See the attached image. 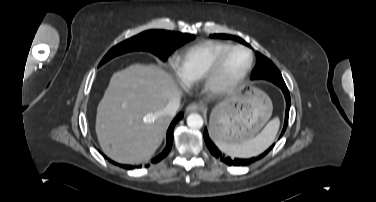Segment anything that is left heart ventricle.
<instances>
[{
    "mask_svg": "<svg viewBox=\"0 0 376 202\" xmlns=\"http://www.w3.org/2000/svg\"><path fill=\"white\" fill-rule=\"evenodd\" d=\"M249 62V55L243 50H236L232 52L226 59L222 72L221 79L224 82L236 78L247 66Z\"/></svg>",
    "mask_w": 376,
    "mask_h": 202,
    "instance_id": "obj_1",
    "label": "left heart ventricle"
}]
</instances>
